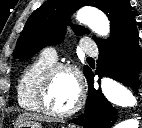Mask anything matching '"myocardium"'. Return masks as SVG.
<instances>
[{
    "instance_id": "1",
    "label": "myocardium",
    "mask_w": 142,
    "mask_h": 128,
    "mask_svg": "<svg viewBox=\"0 0 142 128\" xmlns=\"http://www.w3.org/2000/svg\"><path fill=\"white\" fill-rule=\"evenodd\" d=\"M61 71H67L73 75L77 84L78 95L75 103L71 108L65 111H56L48 104V92L54 76ZM37 100L40 109L52 117L64 118L77 112L85 101V86L76 67L68 63H57L48 68L40 80L37 92Z\"/></svg>"
}]
</instances>
